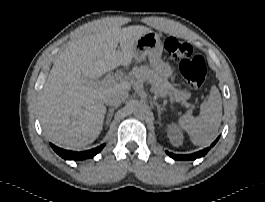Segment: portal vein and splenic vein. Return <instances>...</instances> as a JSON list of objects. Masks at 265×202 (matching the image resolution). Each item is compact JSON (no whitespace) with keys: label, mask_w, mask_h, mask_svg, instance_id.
Returning <instances> with one entry per match:
<instances>
[{"label":"portal vein and splenic vein","mask_w":265,"mask_h":202,"mask_svg":"<svg viewBox=\"0 0 265 202\" xmlns=\"http://www.w3.org/2000/svg\"><path fill=\"white\" fill-rule=\"evenodd\" d=\"M123 80H125V79L122 76L107 75L102 80L94 81L93 84H95V85H110V84H114L116 81H123ZM186 106H189V104L187 103Z\"/></svg>","instance_id":"1"}]
</instances>
